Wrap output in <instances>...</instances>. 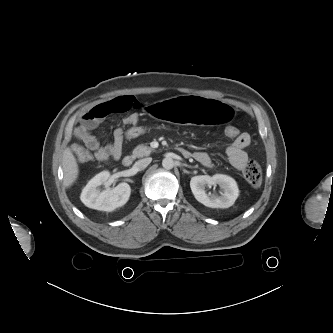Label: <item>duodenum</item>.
<instances>
[{
	"instance_id": "duodenum-1",
	"label": "duodenum",
	"mask_w": 333,
	"mask_h": 333,
	"mask_svg": "<svg viewBox=\"0 0 333 333\" xmlns=\"http://www.w3.org/2000/svg\"><path fill=\"white\" fill-rule=\"evenodd\" d=\"M180 151L184 156H189L190 155V153L188 151L184 150V149H180ZM132 163H133V157L132 156H126L122 160V164L125 167L130 166Z\"/></svg>"
}]
</instances>
